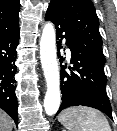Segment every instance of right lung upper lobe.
Here are the masks:
<instances>
[{
	"instance_id": "1",
	"label": "right lung upper lobe",
	"mask_w": 117,
	"mask_h": 131,
	"mask_svg": "<svg viewBox=\"0 0 117 131\" xmlns=\"http://www.w3.org/2000/svg\"><path fill=\"white\" fill-rule=\"evenodd\" d=\"M19 0H0V39L19 30Z\"/></svg>"
}]
</instances>
